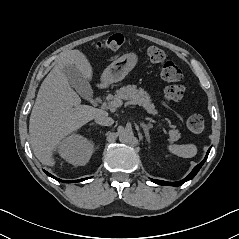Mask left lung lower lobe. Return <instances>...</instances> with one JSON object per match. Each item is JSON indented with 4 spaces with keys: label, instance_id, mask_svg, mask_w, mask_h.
Instances as JSON below:
<instances>
[{
    "label": "left lung lower lobe",
    "instance_id": "left-lung-lower-lobe-1",
    "mask_svg": "<svg viewBox=\"0 0 239 239\" xmlns=\"http://www.w3.org/2000/svg\"><path fill=\"white\" fill-rule=\"evenodd\" d=\"M210 152V149L207 151V154L204 158V160L198 164L197 166L194 167V169L192 170V172L183 180L181 181H178V182H166V181H162V180H155V179H152V181L156 184H159V185H169V186H180L182 185L183 183L193 179V177L198 173V171L200 170V168L202 167V165L204 164V162L206 161L207 157H208V154Z\"/></svg>",
    "mask_w": 239,
    "mask_h": 239
}]
</instances>
